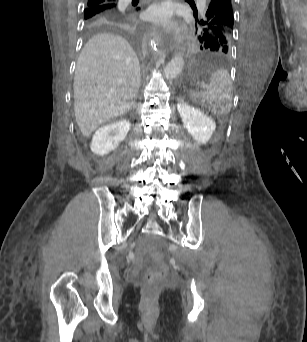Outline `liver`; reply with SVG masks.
Listing matches in <instances>:
<instances>
[{"label":"liver","instance_id":"6515ba94","mask_svg":"<svg viewBox=\"0 0 307 342\" xmlns=\"http://www.w3.org/2000/svg\"><path fill=\"white\" fill-rule=\"evenodd\" d=\"M139 60L127 40L97 34L84 46L74 76V112L82 136L122 116L137 98Z\"/></svg>","mask_w":307,"mask_h":342}]
</instances>
